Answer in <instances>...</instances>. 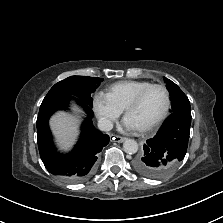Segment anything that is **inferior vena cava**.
Masks as SVG:
<instances>
[{
	"instance_id": "inferior-vena-cava-1",
	"label": "inferior vena cava",
	"mask_w": 223,
	"mask_h": 223,
	"mask_svg": "<svg viewBox=\"0 0 223 223\" xmlns=\"http://www.w3.org/2000/svg\"><path fill=\"white\" fill-rule=\"evenodd\" d=\"M98 128L101 131H110L113 128V124L106 118H100L98 120Z\"/></svg>"
}]
</instances>
